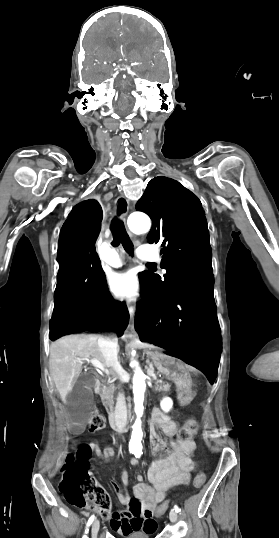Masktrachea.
<instances>
[{"label":"trachea","mask_w":279,"mask_h":538,"mask_svg":"<svg viewBox=\"0 0 279 538\" xmlns=\"http://www.w3.org/2000/svg\"><path fill=\"white\" fill-rule=\"evenodd\" d=\"M110 228L113 233V241L111 242V245L113 247H118L121 243L124 247V250L129 253V255L134 256L133 244L129 238V235L126 232L124 223L117 218H113L111 221Z\"/></svg>","instance_id":"trachea-1"}]
</instances>
